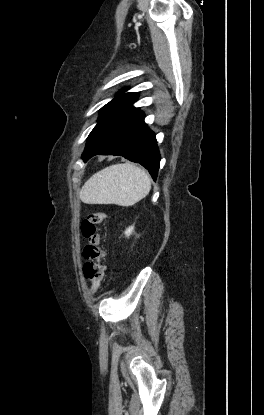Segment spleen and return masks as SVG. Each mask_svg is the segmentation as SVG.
<instances>
[{"label": "spleen", "instance_id": "3e777b00", "mask_svg": "<svg viewBox=\"0 0 264 415\" xmlns=\"http://www.w3.org/2000/svg\"><path fill=\"white\" fill-rule=\"evenodd\" d=\"M151 189L145 170L130 164L106 167L82 186L79 197L87 204H116L132 206L143 199Z\"/></svg>", "mask_w": 264, "mask_h": 415}]
</instances>
